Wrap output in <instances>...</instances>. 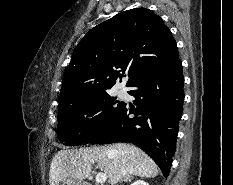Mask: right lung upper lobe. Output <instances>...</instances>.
<instances>
[{
	"mask_svg": "<svg viewBox=\"0 0 233 185\" xmlns=\"http://www.w3.org/2000/svg\"><path fill=\"white\" fill-rule=\"evenodd\" d=\"M175 39L160 16L146 8L124 11L91 29L75 48L62 81L59 106L108 91L128 76L177 60Z\"/></svg>",
	"mask_w": 233,
	"mask_h": 185,
	"instance_id": "cb5924a9",
	"label": "right lung upper lobe"
}]
</instances>
